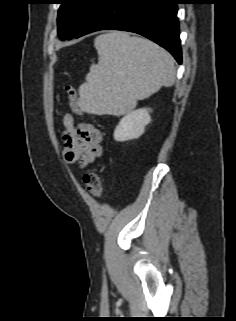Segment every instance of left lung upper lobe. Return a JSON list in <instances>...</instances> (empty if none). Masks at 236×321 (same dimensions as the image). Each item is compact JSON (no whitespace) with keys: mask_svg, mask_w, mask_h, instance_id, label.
I'll return each mask as SVG.
<instances>
[{"mask_svg":"<svg viewBox=\"0 0 236 321\" xmlns=\"http://www.w3.org/2000/svg\"><path fill=\"white\" fill-rule=\"evenodd\" d=\"M102 0H61L58 11V35L64 39L75 37Z\"/></svg>","mask_w":236,"mask_h":321,"instance_id":"left-lung-upper-lobe-1","label":"left lung upper lobe"}]
</instances>
